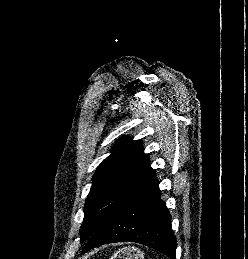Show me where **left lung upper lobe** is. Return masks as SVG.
Listing matches in <instances>:
<instances>
[{"label": "left lung upper lobe", "mask_w": 248, "mask_h": 259, "mask_svg": "<svg viewBox=\"0 0 248 259\" xmlns=\"http://www.w3.org/2000/svg\"><path fill=\"white\" fill-rule=\"evenodd\" d=\"M158 186L141 140L122 138L97 168L84 207L81 240L89 239L132 202Z\"/></svg>", "instance_id": "obj_1"}]
</instances>
